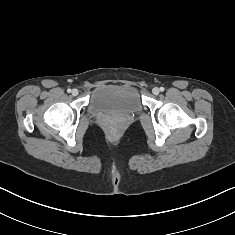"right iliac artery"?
Masks as SVG:
<instances>
[{
	"label": "right iliac artery",
	"instance_id": "right-iliac-artery-1",
	"mask_svg": "<svg viewBox=\"0 0 235 235\" xmlns=\"http://www.w3.org/2000/svg\"><path fill=\"white\" fill-rule=\"evenodd\" d=\"M67 92L70 93V92H71V89H67Z\"/></svg>",
	"mask_w": 235,
	"mask_h": 235
}]
</instances>
